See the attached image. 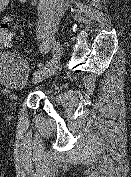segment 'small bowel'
Here are the masks:
<instances>
[{"label":"small bowel","mask_w":131,"mask_h":177,"mask_svg":"<svg viewBox=\"0 0 131 177\" xmlns=\"http://www.w3.org/2000/svg\"><path fill=\"white\" fill-rule=\"evenodd\" d=\"M20 3H26L27 0H18ZM9 0H0V12H2L8 5Z\"/></svg>","instance_id":"c3829d8e"}]
</instances>
